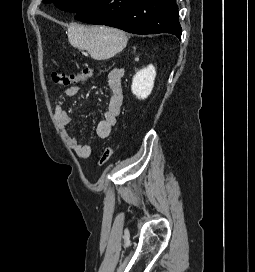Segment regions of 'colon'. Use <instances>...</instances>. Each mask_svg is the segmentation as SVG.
<instances>
[{
    "instance_id": "5ec220e1",
    "label": "colon",
    "mask_w": 255,
    "mask_h": 272,
    "mask_svg": "<svg viewBox=\"0 0 255 272\" xmlns=\"http://www.w3.org/2000/svg\"><path fill=\"white\" fill-rule=\"evenodd\" d=\"M94 70L90 67L83 68L78 73L66 74L61 71H53L51 74L52 81L60 86H68L72 84L79 83L90 78L93 75ZM114 153V148L112 145H107L102 151L98 164L99 166L106 165L112 158Z\"/></svg>"
}]
</instances>
